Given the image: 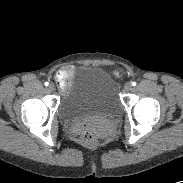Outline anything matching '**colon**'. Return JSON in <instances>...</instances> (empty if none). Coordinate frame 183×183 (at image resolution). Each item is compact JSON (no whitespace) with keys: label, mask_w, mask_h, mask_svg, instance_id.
<instances>
[{"label":"colon","mask_w":183,"mask_h":183,"mask_svg":"<svg viewBox=\"0 0 183 183\" xmlns=\"http://www.w3.org/2000/svg\"><path fill=\"white\" fill-rule=\"evenodd\" d=\"M116 74L118 75L119 73H116ZM57 81H58V84L61 88L66 87L67 80H66V77L64 75L58 74ZM81 140L85 146L93 147L97 142V136L93 132H91L90 130H85V131H83V133L81 135Z\"/></svg>","instance_id":"obj_1"}]
</instances>
